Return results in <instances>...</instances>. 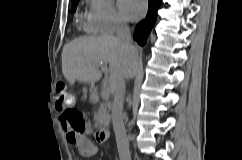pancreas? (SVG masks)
<instances>
[{
    "mask_svg": "<svg viewBox=\"0 0 242 160\" xmlns=\"http://www.w3.org/2000/svg\"><path fill=\"white\" fill-rule=\"evenodd\" d=\"M109 104L103 102L99 109L94 114V121L96 127L108 126L110 123Z\"/></svg>",
    "mask_w": 242,
    "mask_h": 160,
    "instance_id": "pancreas-1",
    "label": "pancreas"
}]
</instances>
